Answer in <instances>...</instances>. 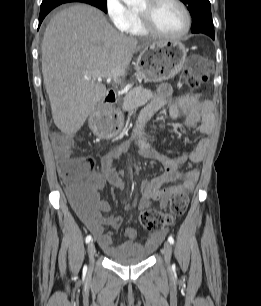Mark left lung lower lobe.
Segmentation results:
<instances>
[{"instance_id": "left-lung-lower-lobe-1", "label": "left lung lower lobe", "mask_w": 261, "mask_h": 306, "mask_svg": "<svg viewBox=\"0 0 261 306\" xmlns=\"http://www.w3.org/2000/svg\"><path fill=\"white\" fill-rule=\"evenodd\" d=\"M205 34L209 35L212 39H214V35H215L214 32H207Z\"/></svg>"}]
</instances>
